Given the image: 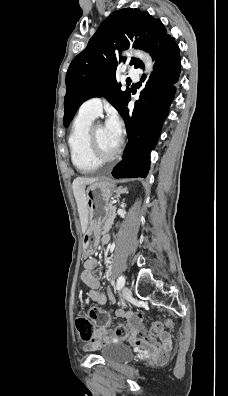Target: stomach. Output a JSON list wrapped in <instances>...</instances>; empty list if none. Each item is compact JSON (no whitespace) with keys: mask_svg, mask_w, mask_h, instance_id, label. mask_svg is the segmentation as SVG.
Segmentation results:
<instances>
[{"mask_svg":"<svg viewBox=\"0 0 228 396\" xmlns=\"http://www.w3.org/2000/svg\"><path fill=\"white\" fill-rule=\"evenodd\" d=\"M114 191V184L108 180H98L89 184L86 190L88 210V226L82 238V253L84 257L91 256L96 251L101 230L109 220L110 199Z\"/></svg>","mask_w":228,"mask_h":396,"instance_id":"obj_1","label":"stomach"}]
</instances>
